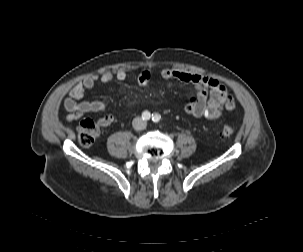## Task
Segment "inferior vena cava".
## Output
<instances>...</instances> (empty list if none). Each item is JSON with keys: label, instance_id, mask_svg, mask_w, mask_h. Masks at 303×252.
Wrapping results in <instances>:
<instances>
[{"label": "inferior vena cava", "instance_id": "1", "mask_svg": "<svg viewBox=\"0 0 303 252\" xmlns=\"http://www.w3.org/2000/svg\"><path fill=\"white\" fill-rule=\"evenodd\" d=\"M132 126L135 130H142L146 127V122L142 118L136 117L132 121Z\"/></svg>", "mask_w": 303, "mask_h": 252}]
</instances>
